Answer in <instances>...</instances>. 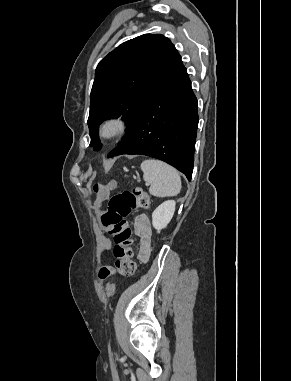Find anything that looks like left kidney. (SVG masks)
<instances>
[{
    "label": "left kidney",
    "mask_w": 291,
    "mask_h": 381,
    "mask_svg": "<svg viewBox=\"0 0 291 381\" xmlns=\"http://www.w3.org/2000/svg\"><path fill=\"white\" fill-rule=\"evenodd\" d=\"M176 202L168 200L160 204L152 213V225L159 233L166 228L175 212Z\"/></svg>",
    "instance_id": "1"
}]
</instances>
